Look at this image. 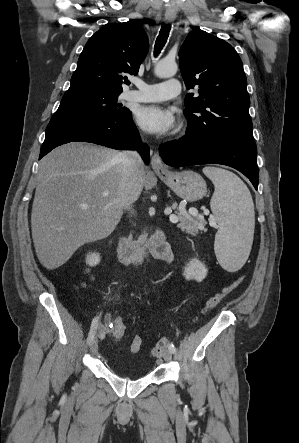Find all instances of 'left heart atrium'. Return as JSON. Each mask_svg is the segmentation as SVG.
Returning a JSON list of instances; mask_svg holds the SVG:
<instances>
[{"instance_id":"obj_1","label":"left heart atrium","mask_w":299,"mask_h":443,"mask_svg":"<svg viewBox=\"0 0 299 443\" xmlns=\"http://www.w3.org/2000/svg\"><path fill=\"white\" fill-rule=\"evenodd\" d=\"M140 127L153 134H166L176 127V116L173 110L160 105L141 107L136 113Z\"/></svg>"}]
</instances>
